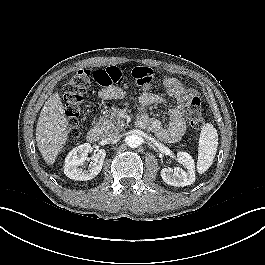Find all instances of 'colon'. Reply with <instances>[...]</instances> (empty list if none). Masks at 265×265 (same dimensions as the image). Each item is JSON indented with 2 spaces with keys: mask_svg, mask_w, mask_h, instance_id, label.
<instances>
[{
  "mask_svg": "<svg viewBox=\"0 0 265 265\" xmlns=\"http://www.w3.org/2000/svg\"><path fill=\"white\" fill-rule=\"evenodd\" d=\"M148 71L151 76V71L149 69ZM132 76L137 83L145 82V79L140 75L138 70L132 73ZM122 80L123 75L121 71L115 67L95 71L80 70L70 78L64 87L63 95L70 137L77 138L80 134L79 117L91 83L94 81L100 85L109 86L118 85ZM186 118L190 126L195 129H200L203 126L204 120L199 97L194 96L189 102Z\"/></svg>",
  "mask_w": 265,
  "mask_h": 265,
  "instance_id": "colon-1",
  "label": "colon"
}]
</instances>
